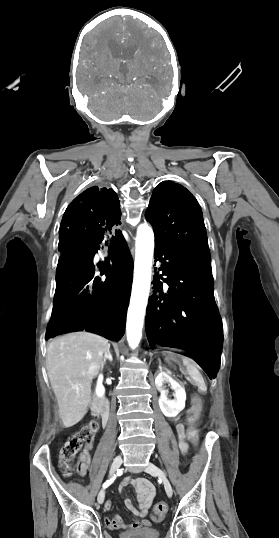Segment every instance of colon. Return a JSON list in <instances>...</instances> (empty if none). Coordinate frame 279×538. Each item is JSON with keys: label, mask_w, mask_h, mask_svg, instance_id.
<instances>
[{"label": "colon", "mask_w": 279, "mask_h": 538, "mask_svg": "<svg viewBox=\"0 0 279 538\" xmlns=\"http://www.w3.org/2000/svg\"><path fill=\"white\" fill-rule=\"evenodd\" d=\"M202 411V402L199 397H194L192 406L188 413V438L198 446L200 444L199 432L195 427L200 413ZM99 430V423L96 420H91L88 424L84 425L80 430L74 433L63 445L60 451V461L66 473L72 472V461L80 451V449L93 441L96 433ZM80 470V468H79ZM168 512V505L161 501L154 505L153 516L157 520L163 519Z\"/></svg>", "instance_id": "5ec220e1"}]
</instances>
